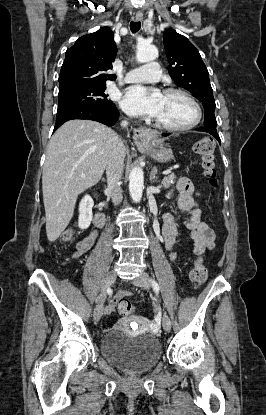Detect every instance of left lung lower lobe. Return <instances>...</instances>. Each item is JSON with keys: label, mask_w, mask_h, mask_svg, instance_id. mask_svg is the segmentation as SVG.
I'll use <instances>...</instances> for the list:
<instances>
[{"label": "left lung lower lobe", "mask_w": 266, "mask_h": 415, "mask_svg": "<svg viewBox=\"0 0 266 415\" xmlns=\"http://www.w3.org/2000/svg\"><path fill=\"white\" fill-rule=\"evenodd\" d=\"M169 134H163V136H168ZM216 139L218 140V141H220V138L219 137H216Z\"/></svg>", "instance_id": "obj_1"}]
</instances>
